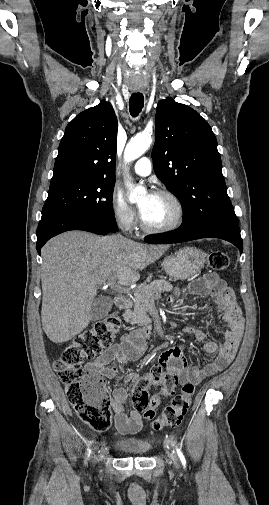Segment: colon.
<instances>
[{"label":"colon","instance_id":"5ec220e1","mask_svg":"<svg viewBox=\"0 0 269 505\" xmlns=\"http://www.w3.org/2000/svg\"><path fill=\"white\" fill-rule=\"evenodd\" d=\"M208 264L215 271H223L229 266V257L221 250H212L208 255ZM119 329V318L113 313L67 345L53 364L77 416L96 431H105L111 425L110 402L102 377L85 373L82 365L85 360L96 358L109 347ZM177 384L174 376L152 368L137 381L133 389L134 407L145 418L152 419L155 416L156 401L150 400L148 388L158 385L164 395H173ZM194 392V384H184L181 392L173 396L161 415L153 421V429L160 431L179 425L191 405Z\"/></svg>","mask_w":269,"mask_h":505}]
</instances>
